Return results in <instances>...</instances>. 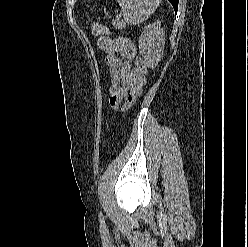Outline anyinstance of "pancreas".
I'll use <instances>...</instances> for the list:
<instances>
[{"label":"pancreas","instance_id":"1","mask_svg":"<svg viewBox=\"0 0 248 247\" xmlns=\"http://www.w3.org/2000/svg\"><path fill=\"white\" fill-rule=\"evenodd\" d=\"M112 25L116 28H125L126 27V24L123 22V21H120V20H115L112 22Z\"/></svg>","mask_w":248,"mask_h":247}]
</instances>
